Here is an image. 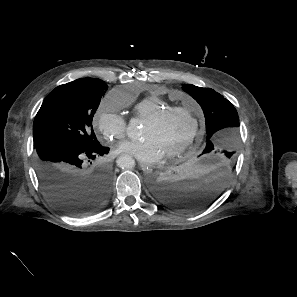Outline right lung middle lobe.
Here are the masks:
<instances>
[{
    "mask_svg": "<svg viewBox=\"0 0 297 297\" xmlns=\"http://www.w3.org/2000/svg\"><path fill=\"white\" fill-rule=\"evenodd\" d=\"M107 88L99 79H78L55 88L35 117L34 147L50 140H65L83 148L100 145L92 119Z\"/></svg>",
    "mask_w": 297,
    "mask_h": 297,
    "instance_id": "right-lung-middle-lobe-1",
    "label": "right lung middle lobe"
}]
</instances>
